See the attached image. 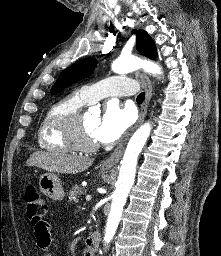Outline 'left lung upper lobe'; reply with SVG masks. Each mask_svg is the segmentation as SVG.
<instances>
[{
	"label": "left lung upper lobe",
	"mask_w": 221,
	"mask_h": 256,
	"mask_svg": "<svg viewBox=\"0 0 221 256\" xmlns=\"http://www.w3.org/2000/svg\"><path fill=\"white\" fill-rule=\"evenodd\" d=\"M136 34V48L144 56L155 59L157 51L155 44L147 32L143 30H133ZM97 65L95 58H86L80 60L67 69H65L54 86L51 88V94H56L71 84L90 76Z\"/></svg>",
	"instance_id": "5c2ea615"
}]
</instances>
